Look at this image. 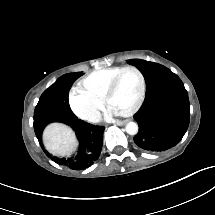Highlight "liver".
Wrapping results in <instances>:
<instances>
[{
  "instance_id": "obj_1",
  "label": "liver",
  "mask_w": 215,
  "mask_h": 215,
  "mask_svg": "<svg viewBox=\"0 0 215 215\" xmlns=\"http://www.w3.org/2000/svg\"><path fill=\"white\" fill-rule=\"evenodd\" d=\"M43 142L47 151L54 156L62 157L70 155L78 146V141L71 128L60 123H52L46 127Z\"/></svg>"
}]
</instances>
